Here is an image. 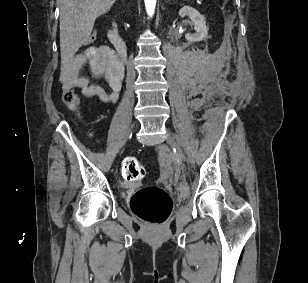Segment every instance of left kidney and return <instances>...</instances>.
Segmentation results:
<instances>
[{
	"instance_id": "left-kidney-1",
	"label": "left kidney",
	"mask_w": 308,
	"mask_h": 283,
	"mask_svg": "<svg viewBox=\"0 0 308 283\" xmlns=\"http://www.w3.org/2000/svg\"><path fill=\"white\" fill-rule=\"evenodd\" d=\"M179 15L181 17L188 16L192 22L195 25V31L194 34H186L185 38L189 42H198L202 41L207 37V27H206V21L204 17L194 8L189 6H184L179 10Z\"/></svg>"
}]
</instances>
